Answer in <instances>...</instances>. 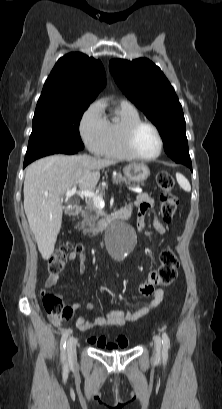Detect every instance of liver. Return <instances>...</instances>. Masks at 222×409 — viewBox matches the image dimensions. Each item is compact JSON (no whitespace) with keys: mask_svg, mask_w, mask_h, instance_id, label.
<instances>
[{"mask_svg":"<svg viewBox=\"0 0 222 409\" xmlns=\"http://www.w3.org/2000/svg\"><path fill=\"white\" fill-rule=\"evenodd\" d=\"M116 163L88 155H53L27 167L24 210L44 260L52 255L61 229L64 193L75 185L81 190H93L100 179V169Z\"/></svg>","mask_w":222,"mask_h":409,"instance_id":"liver-1","label":"liver"}]
</instances>
